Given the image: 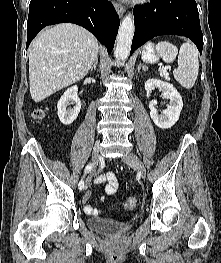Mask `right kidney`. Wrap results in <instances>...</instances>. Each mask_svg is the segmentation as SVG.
Here are the masks:
<instances>
[{"label":"right kidney","instance_id":"ca27d5eb","mask_svg":"<svg viewBox=\"0 0 221 263\" xmlns=\"http://www.w3.org/2000/svg\"><path fill=\"white\" fill-rule=\"evenodd\" d=\"M70 104L73 105L72 108H68ZM57 109L62 124L70 125L76 120L81 109L77 86H72L64 92L57 103Z\"/></svg>","mask_w":221,"mask_h":263}]
</instances>
